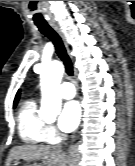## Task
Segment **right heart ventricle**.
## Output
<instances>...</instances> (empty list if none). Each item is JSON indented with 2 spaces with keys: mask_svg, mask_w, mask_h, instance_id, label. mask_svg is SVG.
<instances>
[{
  "mask_svg": "<svg viewBox=\"0 0 135 166\" xmlns=\"http://www.w3.org/2000/svg\"><path fill=\"white\" fill-rule=\"evenodd\" d=\"M18 132L21 140L29 145H39L46 139V123L37 114L36 101L28 99L21 105L18 115Z\"/></svg>",
  "mask_w": 135,
  "mask_h": 166,
  "instance_id": "e07e8e85",
  "label": "right heart ventricle"
}]
</instances>
